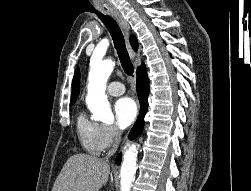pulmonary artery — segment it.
Returning <instances> with one entry per match:
<instances>
[{
    "label": "pulmonary artery",
    "instance_id": "obj_1",
    "mask_svg": "<svg viewBox=\"0 0 251 191\" xmlns=\"http://www.w3.org/2000/svg\"><path fill=\"white\" fill-rule=\"evenodd\" d=\"M107 90L109 94L119 96L125 92V86L121 82L114 81L109 83Z\"/></svg>",
    "mask_w": 251,
    "mask_h": 191
}]
</instances>
